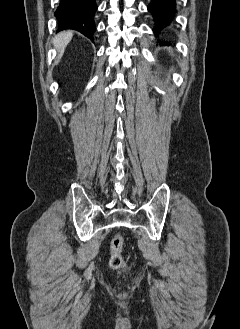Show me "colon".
<instances>
[{
	"instance_id": "obj_1",
	"label": "colon",
	"mask_w": 240,
	"mask_h": 329,
	"mask_svg": "<svg viewBox=\"0 0 240 329\" xmlns=\"http://www.w3.org/2000/svg\"><path fill=\"white\" fill-rule=\"evenodd\" d=\"M123 244L124 239L121 234H117L113 237L111 241V254L109 259V264L114 270H124L125 263L123 259Z\"/></svg>"
}]
</instances>
